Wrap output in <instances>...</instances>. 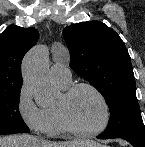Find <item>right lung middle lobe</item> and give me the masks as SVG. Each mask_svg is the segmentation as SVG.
I'll return each mask as SVG.
<instances>
[{
  "label": "right lung middle lobe",
  "mask_w": 145,
  "mask_h": 147,
  "mask_svg": "<svg viewBox=\"0 0 145 147\" xmlns=\"http://www.w3.org/2000/svg\"><path fill=\"white\" fill-rule=\"evenodd\" d=\"M21 86L0 90V135L29 132L19 112Z\"/></svg>",
  "instance_id": "dd1d6c3e"
}]
</instances>
